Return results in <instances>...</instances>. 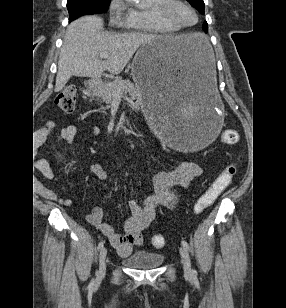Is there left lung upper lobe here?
<instances>
[{
    "label": "left lung upper lobe",
    "instance_id": "obj_1",
    "mask_svg": "<svg viewBox=\"0 0 286 308\" xmlns=\"http://www.w3.org/2000/svg\"><path fill=\"white\" fill-rule=\"evenodd\" d=\"M193 7H195L200 13H204V1L203 0H187ZM203 30L207 32V22L203 24Z\"/></svg>",
    "mask_w": 286,
    "mask_h": 308
}]
</instances>
